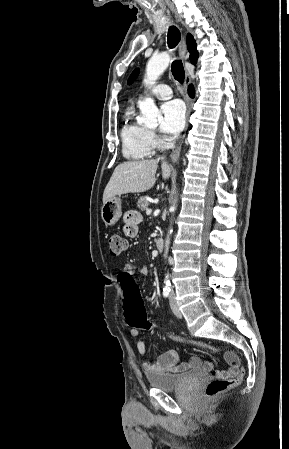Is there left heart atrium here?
<instances>
[{
	"mask_svg": "<svg viewBox=\"0 0 289 449\" xmlns=\"http://www.w3.org/2000/svg\"><path fill=\"white\" fill-rule=\"evenodd\" d=\"M160 130L166 139L178 135L185 124V108L181 101L171 100L161 106Z\"/></svg>",
	"mask_w": 289,
	"mask_h": 449,
	"instance_id": "left-heart-atrium-1",
	"label": "left heart atrium"
}]
</instances>
